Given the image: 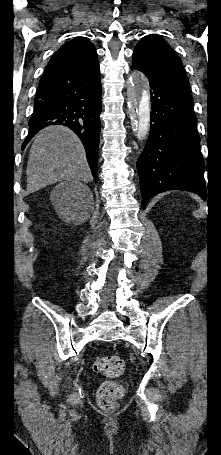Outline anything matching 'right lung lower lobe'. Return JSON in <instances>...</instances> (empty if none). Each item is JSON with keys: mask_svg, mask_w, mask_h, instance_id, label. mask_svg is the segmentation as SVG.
Masks as SVG:
<instances>
[{"mask_svg": "<svg viewBox=\"0 0 221 455\" xmlns=\"http://www.w3.org/2000/svg\"><path fill=\"white\" fill-rule=\"evenodd\" d=\"M29 134L23 148L42 128L64 125L80 138L88 164L98 181L101 81L97 53H86L48 72L40 80Z\"/></svg>", "mask_w": 221, "mask_h": 455, "instance_id": "1", "label": "right lung lower lobe"}]
</instances>
